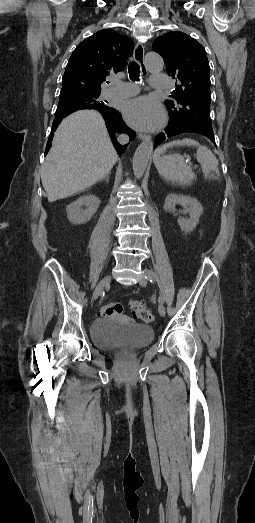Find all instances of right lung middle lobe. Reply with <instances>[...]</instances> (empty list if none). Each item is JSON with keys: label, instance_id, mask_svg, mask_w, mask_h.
Here are the masks:
<instances>
[{"label": "right lung middle lobe", "instance_id": "right-lung-middle-lobe-1", "mask_svg": "<svg viewBox=\"0 0 255 523\" xmlns=\"http://www.w3.org/2000/svg\"><path fill=\"white\" fill-rule=\"evenodd\" d=\"M100 93L96 92H79V91H61L59 101H73V105L77 108H87L90 101L96 100Z\"/></svg>", "mask_w": 255, "mask_h": 523}]
</instances>
